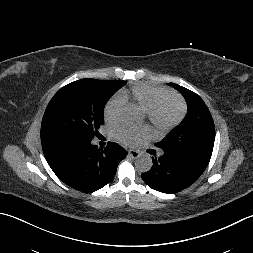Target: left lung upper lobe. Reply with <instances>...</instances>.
Wrapping results in <instances>:
<instances>
[{
    "mask_svg": "<svg viewBox=\"0 0 253 253\" xmlns=\"http://www.w3.org/2000/svg\"><path fill=\"white\" fill-rule=\"evenodd\" d=\"M186 99L188 112L184 121L155 146L179 152L208 164L212 155L215 126L204 101L194 92L171 83Z\"/></svg>",
    "mask_w": 253,
    "mask_h": 253,
    "instance_id": "left-lung-upper-lobe-1",
    "label": "left lung upper lobe"
}]
</instances>
